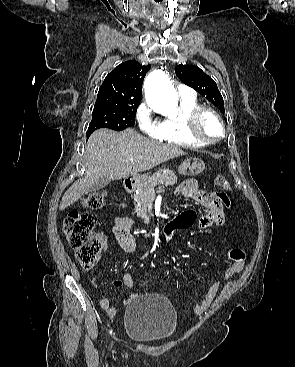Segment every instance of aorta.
<instances>
[{
	"label": "aorta",
	"mask_w": 295,
	"mask_h": 367,
	"mask_svg": "<svg viewBox=\"0 0 295 367\" xmlns=\"http://www.w3.org/2000/svg\"><path fill=\"white\" fill-rule=\"evenodd\" d=\"M145 98L155 112L168 117L178 115L176 91L162 70L152 71L145 80Z\"/></svg>",
	"instance_id": "1"
}]
</instances>
